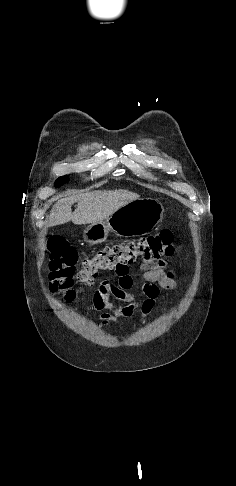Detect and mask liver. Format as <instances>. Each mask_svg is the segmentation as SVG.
Returning a JSON list of instances; mask_svg holds the SVG:
<instances>
[{
    "instance_id": "1",
    "label": "liver",
    "mask_w": 236,
    "mask_h": 486,
    "mask_svg": "<svg viewBox=\"0 0 236 486\" xmlns=\"http://www.w3.org/2000/svg\"><path fill=\"white\" fill-rule=\"evenodd\" d=\"M139 195L128 190H104L80 193L60 199L51 209L47 222L49 227L72 221L75 225L102 222L127 203L139 199ZM77 202L74 212L73 203Z\"/></svg>"
}]
</instances>
